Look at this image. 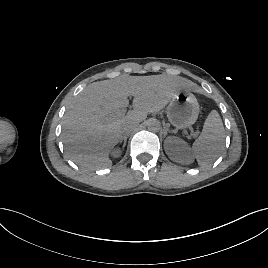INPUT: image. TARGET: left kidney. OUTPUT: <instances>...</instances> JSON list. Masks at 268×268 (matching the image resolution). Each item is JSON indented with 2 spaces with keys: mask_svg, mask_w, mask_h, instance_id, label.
Instances as JSON below:
<instances>
[{
  "mask_svg": "<svg viewBox=\"0 0 268 268\" xmlns=\"http://www.w3.org/2000/svg\"><path fill=\"white\" fill-rule=\"evenodd\" d=\"M164 148L170 159L174 162L190 164L194 160L188 144L178 137L167 138Z\"/></svg>",
  "mask_w": 268,
  "mask_h": 268,
  "instance_id": "1",
  "label": "left kidney"
}]
</instances>
